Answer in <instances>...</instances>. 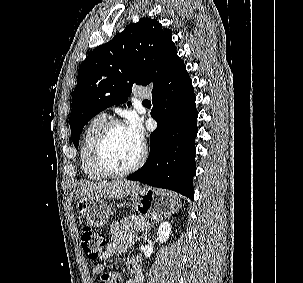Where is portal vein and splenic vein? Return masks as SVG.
<instances>
[{
  "label": "portal vein and splenic vein",
  "instance_id": "18ae733b",
  "mask_svg": "<svg viewBox=\"0 0 303 283\" xmlns=\"http://www.w3.org/2000/svg\"><path fill=\"white\" fill-rule=\"evenodd\" d=\"M149 225V223L147 222L146 224H145V226H148Z\"/></svg>",
  "mask_w": 303,
  "mask_h": 283
}]
</instances>
